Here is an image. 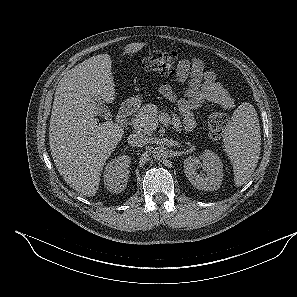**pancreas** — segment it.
<instances>
[{"instance_id": "pancreas-1", "label": "pancreas", "mask_w": 297, "mask_h": 297, "mask_svg": "<svg viewBox=\"0 0 297 297\" xmlns=\"http://www.w3.org/2000/svg\"><path fill=\"white\" fill-rule=\"evenodd\" d=\"M162 115H164V111H158L156 105L151 103L143 105L132 118L133 127L136 131L150 135L156 129L158 120ZM169 124H172L176 130H181V120L174 113L171 115Z\"/></svg>"}]
</instances>
